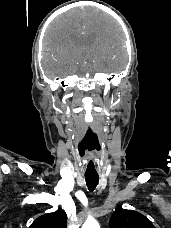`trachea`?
Listing matches in <instances>:
<instances>
[{
	"label": "trachea",
	"instance_id": "1",
	"mask_svg": "<svg viewBox=\"0 0 171 228\" xmlns=\"http://www.w3.org/2000/svg\"><path fill=\"white\" fill-rule=\"evenodd\" d=\"M85 180L87 183V187L89 191H93L96 186L98 185L99 182V176H90V175H85Z\"/></svg>",
	"mask_w": 171,
	"mask_h": 228
}]
</instances>
